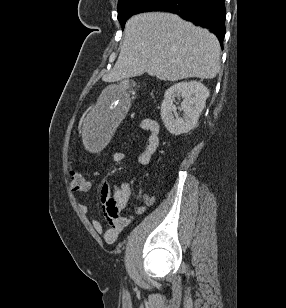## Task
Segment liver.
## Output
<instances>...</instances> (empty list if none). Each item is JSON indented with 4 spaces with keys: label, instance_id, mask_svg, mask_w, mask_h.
<instances>
[{
    "label": "liver",
    "instance_id": "liver-1",
    "mask_svg": "<svg viewBox=\"0 0 286 308\" xmlns=\"http://www.w3.org/2000/svg\"><path fill=\"white\" fill-rule=\"evenodd\" d=\"M119 57L105 77L116 82L148 73L160 80L213 79L219 72L220 44L207 29L171 13L149 12L125 25Z\"/></svg>",
    "mask_w": 286,
    "mask_h": 308
}]
</instances>
